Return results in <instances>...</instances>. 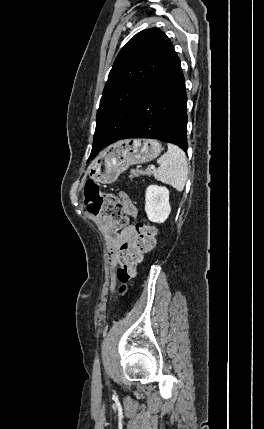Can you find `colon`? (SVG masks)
I'll return each instance as SVG.
<instances>
[{
    "mask_svg": "<svg viewBox=\"0 0 264 429\" xmlns=\"http://www.w3.org/2000/svg\"><path fill=\"white\" fill-rule=\"evenodd\" d=\"M84 196L87 209L94 215L104 217L113 231H118L127 223V218L122 212L119 199L102 191L95 183L87 182L84 186ZM138 237L134 244L123 246L118 252L116 276L120 282L119 293L127 292L132 284L137 267L145 253L155 246V229L141 222L136 224Z\"/></svg>",
    "mask_w": 264,
    "mask_h": 429,
    "instance_id": "colon-1",
    "label": "colon"
}]
</instances>
